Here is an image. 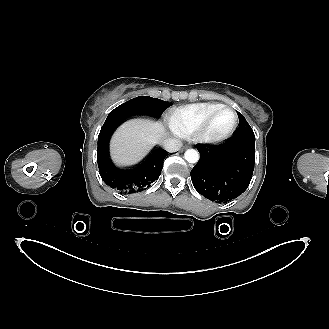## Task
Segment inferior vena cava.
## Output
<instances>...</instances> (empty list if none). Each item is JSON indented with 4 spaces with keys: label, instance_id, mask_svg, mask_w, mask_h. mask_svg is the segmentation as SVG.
I'll return each mask as SVG.
<instances>
[{
    "label": "inferior vena cava",
    "instance_id": "1",
    "mask_svg": "<svg viewBox=\"0 0 329 329\" xmlns=\"http://www.w3.org/2000/svg\"><path fill=\"white\" fill-rule=\"evenodd\" d=\"M182 147V142L178 139L168 138L163 141V148L168 152L178 151Z\"/></svg>",
    "mask_w": 329,
    "mask_h": 329
}]
</instances>
